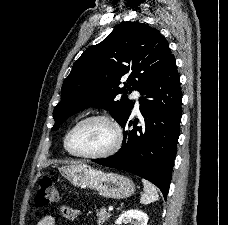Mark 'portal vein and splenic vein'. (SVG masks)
<instances>
[{
    "mask_svg": "<svg viewBox=\"0 0 228 225\" xmlns=\"http://www.w3.org/2000/svg\"><path fill=\"white\" fill-rule=\"evenodd\" d=\"M108 211H113L112 206H111V207H109Z\"/></svg>",
    "mask_w": 228,
    "mask_h": 225,
    "instance_id": "portal-vein-and-splenic-vein-1",
    "label": "portal vein and splenic vein"
}]
</instances>
